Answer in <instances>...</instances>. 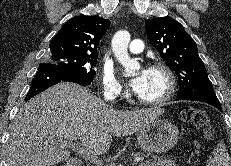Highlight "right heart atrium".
<instances>
[{
    "label": "right heart atrium",
    "instance_id": "1",
    "mask_svg": "<svg viewBox=\"0 0 231 166\" xmlns=\"http://www.w3.org/2000/svg\"><path fill=\"white\" fill-rule=\"evenodd\" d=\"M103 94L112 100L124 94V87L112 69H106L103 73Z\"/></svg>",
    "mask_w": 231,
    "mask_h": 166
}]
</instances>
